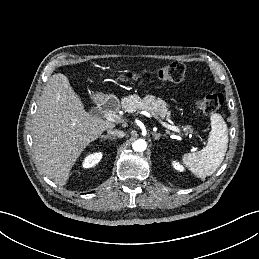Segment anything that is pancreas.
Instances as JSON below:
<instances>
[{
  "instance_id": "pancreas-1",
  "label": "pancreas",
  "mask_w": 259,
  "mask_h": 259,
  "mask_svg": "<svg viewBox=\"0 0 259 259\" xmlns=\"http://www.w3.org/2000/svg\"><path fill=\"white\" fill-rule=\"evenodd\" d=\"M122 108L128 113H134L137 110H145L155 117H169L170 113L167 104L160 98L153 95H147L141 99L138 95L124 97L121 101ZM185 131H191L190 126L184 128Z\"/></svg>"
}]
</instances>
